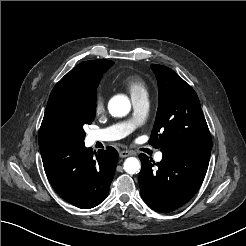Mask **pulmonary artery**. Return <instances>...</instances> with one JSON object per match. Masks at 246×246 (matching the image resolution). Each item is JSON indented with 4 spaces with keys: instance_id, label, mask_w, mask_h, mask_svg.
I'll return each instance as SVG.
<instances>
[{
    "instance_id": "pulmonary-artery-1",
    "label": "pulmonary artery",
    "mask_w": 246,
    "mask_h": 246,
    "mask_svg": "<svg viewBox=\"0 0 246 246\" xmlns=\"http://www.w3.org/2000/svg\"><path fill=\"white\" fill-rule=\"evenodd\" d=\"M134 107V117L126 122H122L105 129L95 130L89 133V140L95 142H107L121 139L128 135L146 117L149 109L148 95H140L132 98ZM162 153L155 155L156 161L162 160Z\"/></svg>"
}]
</instances>
